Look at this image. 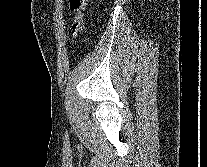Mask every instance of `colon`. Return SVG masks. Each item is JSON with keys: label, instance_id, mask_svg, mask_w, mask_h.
Here are the masks:
<instances>
[{"label": "colon", "instance_id": "obj_1", "mask_svg": "<svg viewBox=\"0 0 207 167\" xmlns=\"http://www.w3.org/2000/svg\"><path fill=\"white\" fill-rule=\"evenodd\" d=\"M87 4L88 0H69L68 9L73 15L70 28L73 38H77L84 28V11Z\"/></svg>", "mask_w": 207, "mask_h": 167}]
</instances>
